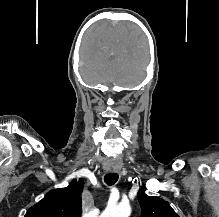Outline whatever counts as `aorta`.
I'll return each instance as SVG.
<instances>
[{"label":"aorta","instance_id":"obj_1","mask_svg":"<svg viewBox=\"0 0 219 217\" xmlns=\"http://www.w3.org/2000/svg\"><path fill=\"white\" fill-rule=\"evenodd\" d=\"M131 207L129 204H119L115 207H107L100 217H129Z\"/></svg>","mask_w":219,"mask_h":217}]
</instances>
